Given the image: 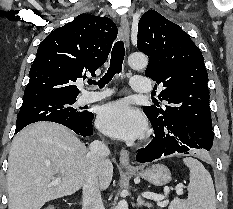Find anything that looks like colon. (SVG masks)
Returning <instances> with one entry per match:
<instances>
[{
    "instance_id": "5ec220e1",
    "label": "colon",
    "mask_w": 233,
    "mask_h": 209,
    "mask_svg": "<svg viewBox=\"0 0 233 209\" xmlns=\"http://www.w3.org/2000/svg\"><path fill=\"white\" fill-rule=\"evenodd\" d=\"M43 209H55L53 206H46L45 208Z\"/></svg>"
}]
</instances>
